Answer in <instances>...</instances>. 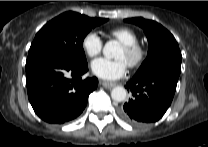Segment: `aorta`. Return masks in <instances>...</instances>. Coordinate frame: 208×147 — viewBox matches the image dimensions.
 <instances>
[{
	"instance_id": "762f6f07",
	"label": "aorta",
	"mask_w": 208,
	"mask_h": 147,
	"mask_svg": "<svg viewBox=\"0 0 208 147\" xmlns=\"http://www.w3.org/2000/svg\"><path fill=\"white\" fill-rule=\"evenodd\" d=\"M120 46L117 41H108L103 48V54L107 59H112L119 52ZM127 91L124 87L117 86L112 89L111 97L114 101L122 102L125 100Z\"/></svg>"
}]
</instances>
